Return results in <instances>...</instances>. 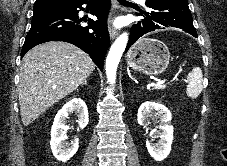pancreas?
I'll return each mask as SVG.
<instances>
[{"instance_id": "cf45deb5", "label": "pancreas", "mask_w": 227, "mask_h": 166, "mask_svg": "<svg viewBox=\"0 0 227 166\" xmlns=\"http://www.w3.org/2000/svg\"><path fill=\"white\" fill-rule=\"evenodd\" d=\"M165 88H166V85H164V84L154 86V89H156V90H163Z\"/></svg>"}]
</instances>
